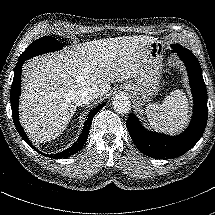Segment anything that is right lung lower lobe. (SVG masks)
Returning a JSON list of instances; mask_svg holds the SVG:
<instances>
[{
	"mask_svg": "<svg viewBox=\"0 0 215 215\" xmlns=\"http://www.w3.org/2000/svg\"><path fill=\"white\" fill-rule=\"evenodd\" d=\"M25 60H27V59H25V58L18 59V63L16 64V67L14 70V78H13V83L11 86V94H10L12 117H13V121H14V124H15V127H16L18 133L31 148H33L37 152L41 153L43 156L57 159V158L69 157V156L77 153L79 150L82 149L83 145L85 144V142L88 138L90 126H91L94 115L101 108H103L106 105V102H103L102 104L98 105L96 108H94L92 111L89 112L79 139L69 149L56 153V154H44V153L40 152L38 149H36L35 146L32 145L30 140L27 138V136L19 122V116H18V104H19V96H20V91H21V70H22V66H23V63Z\"/></svg>",
	"mask_w": 215,
	"mask_h": 215,
	"instance_id": "right-lung-lower-lobe-1",
	"label": "right lung lower lobe"
}]
</instances>
